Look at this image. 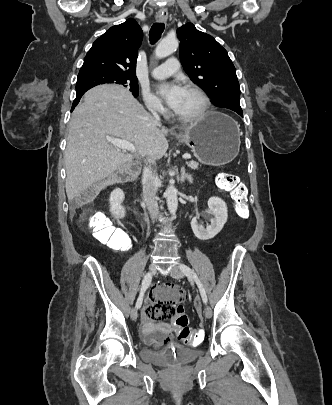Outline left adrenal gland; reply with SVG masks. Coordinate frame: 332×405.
<instances>
[{
	"mask_svg": "<svg viewBox=\"0 0 332 405\" xmlns=\"http://www.w3.org/2000/svg\"><path fill=\"white\" fill-rule=\"evenodd\" d=\"M179 180L181 183L185 182V180H187L190 184L193 182L192 176L186 173L185 167L181 168V177Z\"/></svg>",
	"mask_w": 332,
	"mask_h": 405,
	"instance_id": "1",
	"label": "left adrenal gland"
}]
</instances>
